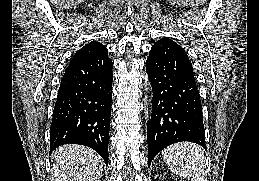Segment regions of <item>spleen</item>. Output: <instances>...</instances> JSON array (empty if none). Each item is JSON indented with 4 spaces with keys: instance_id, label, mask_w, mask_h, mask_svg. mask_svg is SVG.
<instances>
[{
    "instance_id": "3e777b00",
    "label": "spleen",
    "mask_w": 259,
    "mask_h": 181,
    "mask_svg": "<svg viewBox=\"0 0 259 181\" xmlns=\"http://www.w3.org/2000/svg\"><path fill=\"white\" fill-rule=\"evenodd\" d=\"M168 168L180 178L191 181H206L205 156L202 148L191 142L173 144L162 152Z\"/></svg>"
}]
</instances>
